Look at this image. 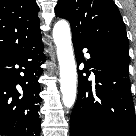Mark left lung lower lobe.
Masks as SVG:
<instances>
[{
  "label": "left lung lower lobe",
  "instance_id": "1",
  "mask_svg": "<svg viewBox=\"0 0 136 136\" xmlns=\"http://www.w3.org/2000/svg\"><path fill=\"white\" fill-rule=\"evenodd\" d=\"M73 45L78 66L83 48L88 49L91 59L78 71V96L70 118V136H136L129 62L83 40L73 39ZM90 68L95 84L87 80Z\"/></svg>",
  "mask_w": 136,
  "mask_h": 136
}]
</instances>
